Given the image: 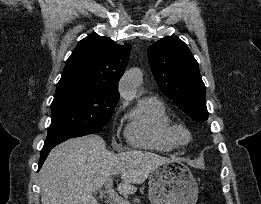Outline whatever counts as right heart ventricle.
<instances>
[{
	"label": "right heart ventricle",
	"instance_id": "e07e8e85",
	"mask_svg": "<svg viewBox=\"0 0 261 204\" xmlns=\"http://www.w3.org/2000/svg\"><path fill=\"white\" fill-rule=\"evenodd\" d=\"M126 120L125 137L135 148L168 152L179 144L167 107L156 97L142 99Z\"/></svg>",
	"mask_w": 261,
	"mask_h": 204
}]
</instances>
